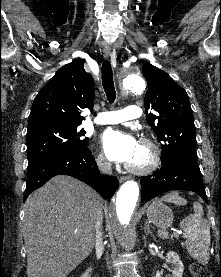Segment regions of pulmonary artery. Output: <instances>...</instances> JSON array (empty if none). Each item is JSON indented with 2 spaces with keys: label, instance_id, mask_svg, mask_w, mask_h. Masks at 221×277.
<instances>
[{
  "label": "pulmonary artery",
  "instance_id": "obj_1",
  "mask_svg": "<svg viewBox=\"0 0 221 277\" xmlns=\"http://www.w3.org/2000/svg\"><path fill=\"white\" fill-rule=\"evenodd\" d=\"M142 117V109L138 105H129L122 110L104 111L94 119L98 124H117Z\"/></svg>",
  "mask_w": 221,
  "mask_h": 277
}]
</instances>
